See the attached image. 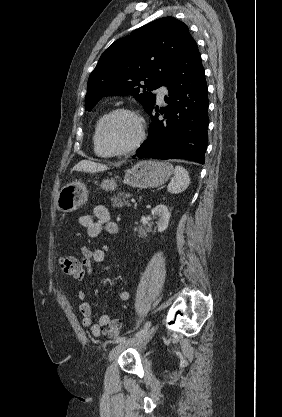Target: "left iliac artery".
<instances>
[{
	"mask_svg": "<svg viewBox=\"0 0 282 417\" xmlns=\"http://www.w3.org/2000/svg\"><path fill=\"white\" fill-rule=\"evenodd\" d=\"M150 326H151V322L150 321L146 322V324L144 325L143 329H141L139 332H137L135 334V336H138V335L143 334L144 332H146L150 328ZM126 339H127L126 336L119 337V338L116 339L115 343H120V342H122V341H124Z\"/></svg>",
	"mask_w": 282,
	"mask_h": 417,
	"instance_id": "44dca946",
	"label": "left iliac artery"
}]
</instances>
